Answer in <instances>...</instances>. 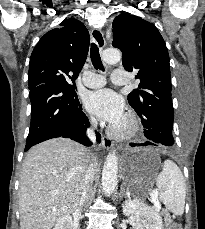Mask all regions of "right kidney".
Listing matches in <instances>:
<instances>
[{
	"label": "right kidney",
	"mask_w": 205,
	"mask_h": 229,
	"mask_svg": "<svg viewBox=\"0 0 205 229\" xmlns=\"http://www.w3.org/2000/svg\"><path fill=\"white\" fill-rule=\"evenodd\" d=\"M53 229H73V221L71 216H64L58 220Z\"/></svg>",
	"instance_id": "obj_1"
}]
</instances>
